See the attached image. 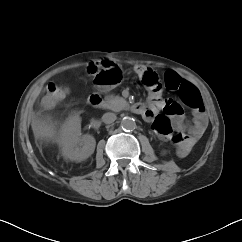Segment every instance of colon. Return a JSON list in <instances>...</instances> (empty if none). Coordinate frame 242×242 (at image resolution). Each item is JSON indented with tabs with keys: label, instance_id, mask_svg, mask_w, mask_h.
Here are the masks:
<instances>
[{
	"label": "colon",
	"instance_id": "5ec220e1",
	"mask_svg": "<svg viewBox=\"0 0 242 242\" xmlns=\"http://www.w3.org/2000/svg\"><path fill=\"white\" fill-rule=\"evenodd\" d=\"M86 74L94 78L95 84L99 87L112 86L120 82L122 72L120 68L103 66L101 63L91 62L86 67ZM143 84L153 93L159 92L161 83L156 73L147 72L142 77ZM166 86L170 90H178L181 100L193 110H201L202 102L199 91L195 86L187 81H182L173 74H167L165 78ZM69 89L58 83H49L46 86L42 103L46 107H51L68 94ZM153 128L161 136L168 137L171 134L170 121L163 115L154 116Z\"/></svg>",
	"mask_w": 242,
	"mask_h": 242
}]
</instances>
